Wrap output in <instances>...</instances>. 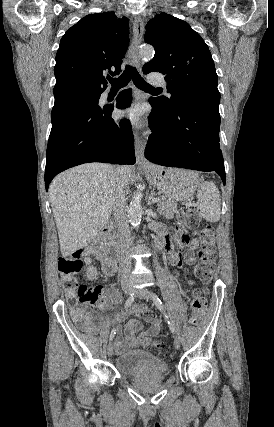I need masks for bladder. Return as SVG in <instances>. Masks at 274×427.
Masks as SVG:
<instances>
[{"instance_id": "obj_1", "label": "bladder", "mask_w": 274, "mask_h": 427, "mask_svg": "<svg viewBox=\"0 0 274 427\" xmlns=\"http://www.w3.org/2000/svg\"><path fill=\"white\" fill-rule=\"evenodd\" d=\"M116 370L128 378L167 376L169 365L166 360L155 357L150 352L133 349L116 357Z\"/></svg>"}]
</instances>
